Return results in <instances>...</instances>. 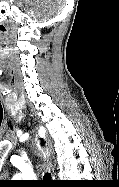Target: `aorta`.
Returning <instances> with one entry per match:
<instances>
[{
  "mask_svg": "<svg viewBox=\"0 0 119 187\" xmlns=\"http://www.w3.org/2000/svg\"><path fill=\"white\" fill-rule=\"evenodd\" d=\"M14 178H19V176H18V175H16Z\"/></svg>",
  "mask_w": 119,
  "mask_h": 187,
  "instance_id": "1",
  "label": "aorta"
}]
</instances>
